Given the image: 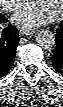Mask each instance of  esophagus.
<instances>
[{
    "instance_id": "1",
    "label": "esophagus",
    "mask_w": 63,
    "mask_h": 107,
    "mask_svg": "<svg viewBox=\"0 0 63 107\" xmlns=\"http://www.w3.org/2000/svg\"><path fill=\"white\" fill-rule=\"evenodd\" d=\"M35 33H36V30H31V29H21L20 30V34L27 35V36L33 35Z\"/></svg>"
}]
</instances>
